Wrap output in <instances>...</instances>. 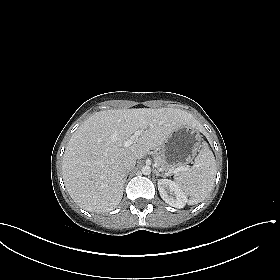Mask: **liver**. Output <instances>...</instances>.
Instances as JSON below:
<instances>
[{
    "label": "liver",
    "instance_id": "6515ba94",
    "mask_svg": "<svg viewBox=\"0 0 280 280\" xmlns=\"http://www.w3.org/2000/svg\"><path fill=\"white\" fill-rule=\"evenodd\" d=\"M184 124L199 127L195 118L176 108L110 109L94 113L73 133L63 155L65 187L79 207L109 212L123 196V160L145 157ZM129 147L124 142L136 131Z\"/></svg>",
    "mask_w": 280,
    "mask_h": 280
}]
</instances>
